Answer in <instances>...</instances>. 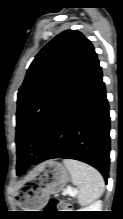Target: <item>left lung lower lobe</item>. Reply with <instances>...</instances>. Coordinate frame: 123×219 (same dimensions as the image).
Wrapping results in <instances>:
<instances>
[{
  "instance_id": "obj_1",
  "label": "left lung lower lobe",
  "mask_w": 123,
  "mask_h": 219,
  "mask_svg": "<svg viewBox=\"0 0 123 219\" xmlns=\"http://www.w3.org/2000/svg\"><path fill=\"white\" fill-rule=\"evenodd\" d=\"M102 71L96 59L61 104L34 164L65 158L85 162L108 179L110 116Z\"/></svg>"
}]
</instances>
